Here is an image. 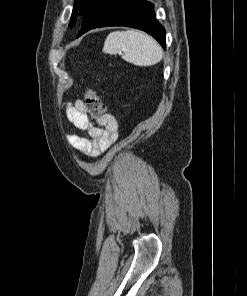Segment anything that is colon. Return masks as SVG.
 I'll return each mask as SVG.
<instances>
[{
  "mask_svg": "<svg viewBox=\"0 0 247 296\" xmlns=\"http://www.w3.org/2000/svg\"><path fill=\"white\" fill-rule=\"evenodd\" d=\"M85 103L89 111L96 117L102 116L106 112L105 105L101 102L96 92L92 89L86 90Z\"/></svg>",
  "mask_w": 247,
  "mask_h": 296,
  "instance_id": "colon-1",
  "label": "colon"
}]
</instances>
